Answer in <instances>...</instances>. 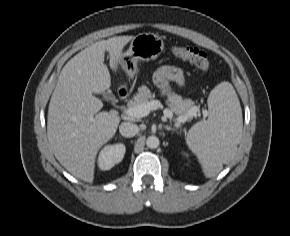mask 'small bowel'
Masks as SVG:
<instances>
[{"label": "small bowel", "instance_id": "c3829d8e", "mask_svg": "<svg viewBox=\"0 0 290 236\" xmlns=\"http://www.w3.org/2000/svg\"><path fill=\"white\" fill-rule=\"evenodd\" d=\"M156 85L162 90L165 95H170L171 89L169 82H175L179 87L185 84L183 70L176 66H162L154 75Z\"/></svg>", "mask_w": 290, "mask_h": 236}]
</instances>
